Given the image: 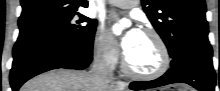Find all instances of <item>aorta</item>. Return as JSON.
I'll return each mask as SVG.
<instances>
[{
    "label": "aorta",
    "instance_id": "obj_1",
    "mask_svg": "<svg viewBox=\"0 0 220 91\" xmlns=\"http://www.w3.org/2000/svg\"><path fill=\"white\" fill-rule=\"evenodd\" d=\"M126 25H129V21L128 20H121L120 21V23H118V24H115L114 26H113V31H114V33L115 34H120L121 33V31H122V28L124 27V26H126Z\"/></svg>",
    "mask_w": 220,
    "mask_h": 91
}]
</instances>
